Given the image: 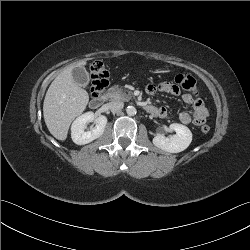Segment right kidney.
<instances>
[{
    "mask_svg": "<svg viewBox=\"0 0 250 250\" xmlns=\"http://www.w3.org/2000/svg\"><path fill=\"white\" fill-rule=\"evenodd\" d=\"M95 119L93 112H86L77 117L71 126V138L78 145H85L99 138L104 133L107 118L100 115L96 118V126L90 131H85L86 124Z\"/></svg>",
    "mask_w": 250,
    "mask_h": 250,
    "instance_id": "1",
    "label": "right kidney"
}]
</instances>
